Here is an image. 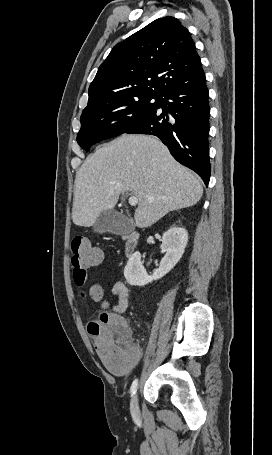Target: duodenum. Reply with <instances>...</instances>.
Segmentation results:
<instances>
[{"instance_id":"1","label":"duodenum","mask_w":272,"mask_h":455,"mask_svg":"<svg viewBox=\"0 0 272 455\" xmlns=\"http://www.w3.org/2000/svg\"><path fill=\"white\" fill-rule=\"evenodd\" d=\"M124 252L128 258H130L134 252L136 251L138 244H139V233L136 231L129 232L124 234Z\"/></svg>"}]
</instances>
